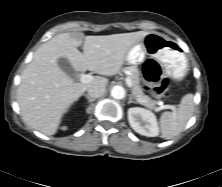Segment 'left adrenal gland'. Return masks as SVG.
<instances>
[{"label": "left adrenal gland", "mask_w": 222, "mask_h": 187, "mask_svg": "<svg viewBox=\"0 0 222 187\" xmlns=\"http://www.w3.org/2000/svg\"><path fill=\"white\" fill-rule=\"evenodd\" d=\"M130 103L137 104V102L133 100L132 96L129 97L128 104H130Z\"/></svg>", "instance_id": "a2214340"}]
</instances>
